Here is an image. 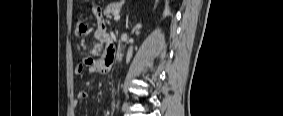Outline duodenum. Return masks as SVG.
<instances>
[{
  "instance_id": "1",
  "label": "duodenum",
  "mask_w": 283,
  "mask_h": 116,
  "mask_svg": "<svg viewBox=\"0 0 283 116\" xmlns=\"http://www.w3.org/2000/svg\"><path fill=\"white\" fill-rule=\"evenodd\" d=\"M113 62H114V58H109V63L113 64Z\"/></svg>"
}]
</instances>
